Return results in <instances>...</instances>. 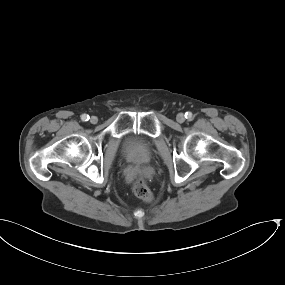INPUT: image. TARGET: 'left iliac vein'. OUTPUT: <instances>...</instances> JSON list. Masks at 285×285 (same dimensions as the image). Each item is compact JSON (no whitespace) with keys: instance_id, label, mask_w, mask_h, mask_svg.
Wrapping results in <instances>:
<instances>
[{"instance_id":"left-iliac-vein-1","label":"left iliac vein","mask_w":285,"mask_h":285,"mask_svg":"<svg viewBox=\"0 0 285 285\" xmlns=\"http://www.w3.org/2000/svg\"><path fill=\"white\" fill-rule=\"evenodd\" d=\"M176 120L179 122V123H183L185 121V115L183 113H179L177 116H176Z\"/></svg>"}]
</instances>
